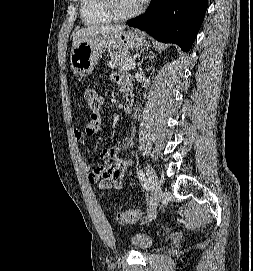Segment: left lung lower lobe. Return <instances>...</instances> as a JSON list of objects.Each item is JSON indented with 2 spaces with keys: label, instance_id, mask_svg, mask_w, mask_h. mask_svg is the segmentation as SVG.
Wrapping results in <instances>:
<instances>
[{
  "label": "left lung lower lobe",
  "instance_id": "left-lung-lower-lobe-1",
  "mask_svg": "<svg viewBox=\"0 0 253 271\" xmlns=\"http://www.w3.org/2000/svg\"><path fill=\"white\" fill-rule=\"evenodd\" d=\"M208 0H152L143 15L128 22L160 42L189 51L204 19Z\"/></svg>",
  "mask_w": 253,
  "mask_h": 271
}]
</instances>
